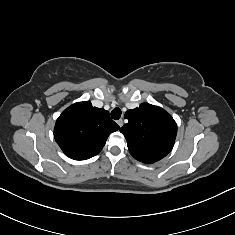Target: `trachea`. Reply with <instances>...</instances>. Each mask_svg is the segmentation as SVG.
I'll use <instances>...</instances> for the list:
<instances>
[{
	"mask_svg": "<svg viewBox=\"0 0 235 235\" xmlns=\"http://www.w3.org/2000/svg\"><path fill=\"white\" fill-rule=\"evenodd\" d=\"M111 117L114 119V120H118L120 117H121V110L116 107L114 108L112 111H111Z\"/></svg>",
	"mask_w": 235,
	"mask_h": 235,
	"instance_id": "1",
	"label": "trachea"
}]
</instances>
